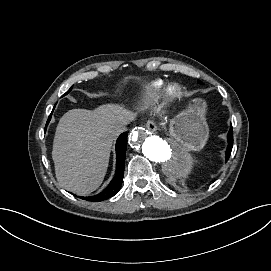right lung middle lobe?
<instances>
[{"label":"right lung middle lobe","instance_id":"right-lung-middle-lobe-1","mask_svg":"<svg viewBox=\"0 0 271 271\" xmlns=\"http://www.w3.org/2000/svg\"><path fill=\"white\" fill-rule=\"evenodd\" d=\"M71 89H72V87L63 96H65L66 94H68Z\"/></svg>","mask_w":271,"mask_h":271}]
</instances>
